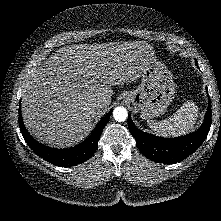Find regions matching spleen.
I'll return each instance as SVG.
<instances>
[{
    "instance_id": "spleen-1",
    "label": "spleen",
    "mask_w": 221,
    "mask_h": 221,
    "mask_svg": "<svg viewBox=\"0 0 221 221\" xmlns=\"http://www.w3.org/2000/svg\"><path fill=\"white\" fill-rule=\"evenodd\" d=\"M198 118V107L192 101H186L169 119L148 121L149 127L163 137H178L190 132Z\"/></svg>"
}]
</instances>
